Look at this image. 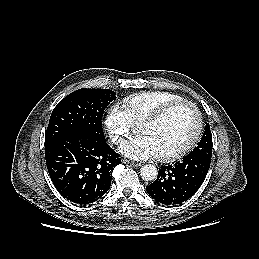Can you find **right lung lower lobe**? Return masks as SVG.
<instances>
[{"mask_svg": "<svg viewBox=\"0 0 259 259\" xmlns=\"http://www.w3.org/2000/svg\"><path fill=\"white\" fill-rule=\"evenodd\" d=\"M46 165L58 192L78 204L102 197L111 186L112 172L121 163L104 139L67 134L45 144Z\"/></svg>", "mask_w": 259, "mask_h": 259, "instance_id": "1", "label": "right lung lower lobe"}]
</instances>
